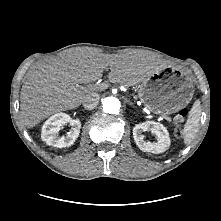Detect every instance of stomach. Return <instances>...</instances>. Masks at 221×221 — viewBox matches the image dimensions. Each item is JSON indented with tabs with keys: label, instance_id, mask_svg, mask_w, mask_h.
<instances>
[{
	"label": "stomach",
	"instance_id": "1",
	"mask_svg": "<svg viewBox=\"0 0 221 221\" xmlns=\"http://www.w3.org/2000/svg\"><path fill=\"white\" fill-rule=\"evenodd\" d=\"M193 94V82L182 71H156L138 87L144 106L160 115L178 112L191 101Z\"/></svg>",
	"mask_w": 221,
	"mask_h": 221
}]
</instances>
